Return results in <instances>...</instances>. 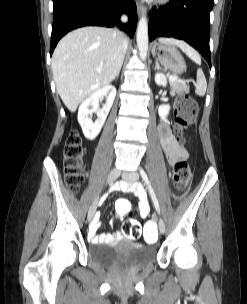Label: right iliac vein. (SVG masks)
Instances as JSON below:
<instances>
[{
  "label": "right iliac vein",
  "instance_id": "right-iliac-vein-1",
  "mask_svg": "<svg viewBox=\"0 0 247 304\" xmlns=\"http://www.w3.org/2000/svg\"><path fill=\"white\" fill-rule=\"evenodd\" d=\"M120 175V170L115 168L112 169L111 172L108 175L107 178V184H111L113 181H115ZM97 205H98V199H95V201L92 203V205L90 206L89 212H88V220L91 221L96 213V209H97Z\"/></svg>",
  "mask_w": 247,
  "mask_h": 304
}]
</instances>
